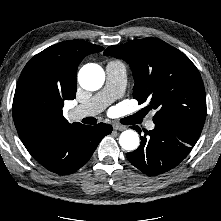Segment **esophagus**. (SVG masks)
Here are the masks:
<instances>
[{
  "label": "esophagus",
  "mask_w": 221,
  "mask_h": 221,
  "mask_svg": "<svg viewBox=\"0 0 221 221\" xmlns=\"http://www.w3.org/2000/svg\"><path fill=\"white\" fill-rule=\"evenodd\" d=\"M113 129L116 130V131H123V130L126 129V127L122 126V125L114 124Z\"/></svg>",
  "instance_id": "esophagus-1"
}]
</instances>
